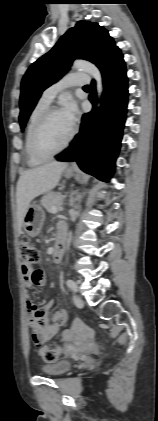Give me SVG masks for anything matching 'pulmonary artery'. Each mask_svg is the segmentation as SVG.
I'll list each match as a JSON object with an SVG mask.
<instances>
[{"instance_id":"pulmonary-artery-1","label":"pulmonary artery","mask_w":158,"mask_h":421,"mask_svg":"<svg viewBox=\"0 0 158 421\" xmlns=\"http://www.w3.org/2000/svg\"><path fill=\"white\" fill-rule=\"evenodd\" d=\"M89 82V77L84 73L71 72L64 75L59 81L45 89L40 100L50 104L56 95L63 89L76 85H84Z\"/></svg>"}]
</instances>
